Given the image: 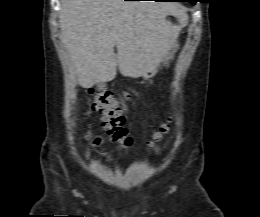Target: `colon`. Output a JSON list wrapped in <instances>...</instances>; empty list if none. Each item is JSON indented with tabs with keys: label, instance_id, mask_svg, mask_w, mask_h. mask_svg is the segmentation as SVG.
Instances as JSON below:
<instances>
[{
	"label": "colon",
	"instance_id": "1",
	"mask_svg": "<svg viewBox=\"0 0 260 217\" xmlns=\"http://www.w3.org/2000/svg\"><path fill=\"white\" fill-rule=\"evenodd\" d=\"M90 106L93 111L101 114L103 126L107 130L110 140L123 151L130 149L131 137L125 128V118L118 107L116 99L108 90H97L92 92ZM171 130V121L162 124L150 142L153 148L156 143L162 141Z\"/></svg>",
	"mask_w": 260,
	"mask_h": 217
}]
</instances>
